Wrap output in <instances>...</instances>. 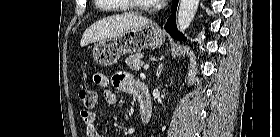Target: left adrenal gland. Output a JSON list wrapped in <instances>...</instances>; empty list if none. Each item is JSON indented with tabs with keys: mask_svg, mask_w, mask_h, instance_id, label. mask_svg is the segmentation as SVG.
<instances>
[{
	"mask_svg": "<svg viewBox=\"0 0 280 137\" xmlns=\"http://www.w3.org/2000/svg\"><path fill=\"white\" fill-rule=\"evenodd\" d=\"M162 58H163V57H162ZM162 69H163V61L161 62V64L159 65V67H158V69H157V76H158V78H159L160 75H161Z\"/></svg>",
	"mask_w": 280,
	"mask_h": 137,
	"instance_id": "a2214340",
	"label": "left adrenal gland"
}]
</instances>
